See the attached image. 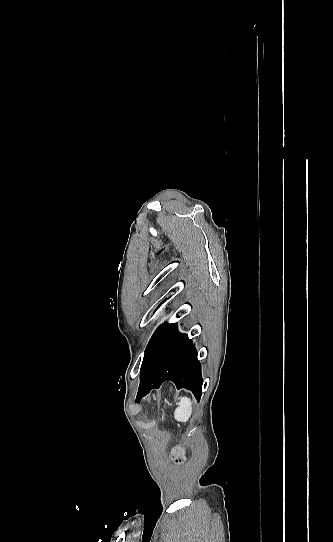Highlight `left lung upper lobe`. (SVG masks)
<instances>
[{"label": "left lung upper lobe", "instance_id": "1", "mask_svg": "<svg viewBox=\"0 0 333 542\" xmlns=\"http://www.w3.org/2000/svg\"><path fill=\"white\" fill-rule=\"evenodd\" d=\"M162 326H163V325H160V326L156 329V331H155L154 334L152 335V337H151V339H150L148 345L150 344L151 340H152L153 337L157 334V332L161 329ZM147 347H148V346H147Z\"/></svg>", "mask_w": 333, "mask_h": 542}]
</instances>
